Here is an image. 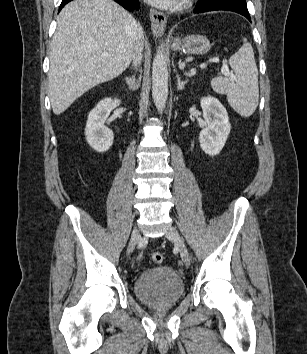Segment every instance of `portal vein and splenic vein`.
Wrapping results in <instances>:
<instances>
[{
  "label": "portal vein and splenic vein",
  "instance_id": "obj_1",
  "mask_svg": "<svg viewBox=\"0 0 307 354\" xmlns=\"http://www.w3.org/2000/svg\"><path fill=\"white\" fill-rule=\"evenodd\" d=\"M104 57L108 56V52H103L102 54ZM212 62L213 63H219V58H213L212 59ZM204 66H206V63H204ZM222 74H224L225 76H230V77H233L231 75V73L229 72V69H228V66L225 64L223 67H222Z\"/></svg>",
  "mask_w": 307,
  "mask_h": 354
}]
</instances>
